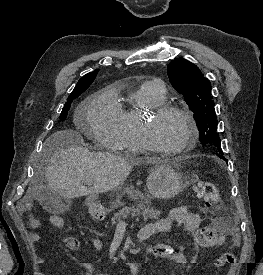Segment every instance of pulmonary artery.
<instances>
[{
    "instance_id": "obj_1",
    "label": "pulmonary artery",
    "mask_w": 263,
    "mask_h": 275,
    "mask_svg": "<svg viewBox=\"0 0 263 275\" xmlns=\"http://www.w3.org/2000/svg\"><path fill=\"white\" fill-rule=\"evenodd\" d=\"M150 84H152L153 86L156 87V89L161 93L164 94V87L162 85V83L159 80H153L149 82Z\"/></svg>"
}]
</instances>
